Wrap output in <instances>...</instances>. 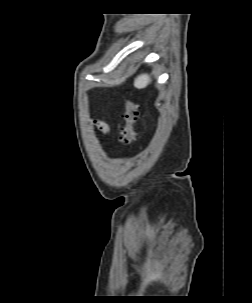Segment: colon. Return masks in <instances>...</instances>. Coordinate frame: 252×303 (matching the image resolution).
I'll return each instance as SVG.
<instances>
[{"mask_svg": "<svg viewBox=\"0 0 252 303\" xmlns=\"http://www.w3.org/2000/svg\"><path fill=\"white\" fill-rule=\"evenodd\" d=\"M124 104V125L121 127V136L124 146L129 147L138 138L135 130V124L138 120V108L137 105L128 98L125 99Z\"/></svg>", "mask_w": 252, "mask_h": 303, "instance_id": "colon-1", "label": "colon"}]
</instances>
